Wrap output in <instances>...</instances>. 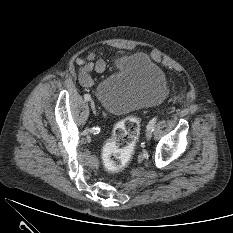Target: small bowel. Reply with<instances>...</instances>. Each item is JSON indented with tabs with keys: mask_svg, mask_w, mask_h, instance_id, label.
Returning <instances> with one entry per match:
<instances>
[{
	"mask_svg": "<svg viewBox=\"0 0 233 233\" xmlns=\"http://www.w3.org/2000/svg\"><path fill=\"white\" fill-rule=\"evenodd\" d=\"M76 64L79 67V80L83 86H91L93 78L91 72L103 73L106 69V64L102 59H95V53H90L86 59L77 58Z\"/></svg>",
	"mask_w": 233,
	"mask_h": 233,
	"instance_id": "1",
	"label": "small bowel"
}]
</instances>
